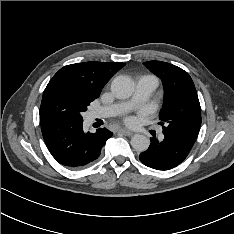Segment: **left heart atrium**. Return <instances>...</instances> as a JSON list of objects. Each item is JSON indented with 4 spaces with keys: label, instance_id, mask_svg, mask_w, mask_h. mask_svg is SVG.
Returning <instances> with one entry per match:
<instances>
[{
    "label": "left heart atrium",
    "instance_id": "obj_1",
    "mask_svg": "<svg viewBox=\"0 0 234 234\" xmlns=\"http://www.w3.org/2000/svg\"><path fill=\"white\" fill-rule=\"evenodd\" d=\"M125 121L127 124H132L134 122L133 118H131V117L126 118Z\"/></svg>",
    "mask_w": 234,
    "mask_h": 234
}]
</instances>
